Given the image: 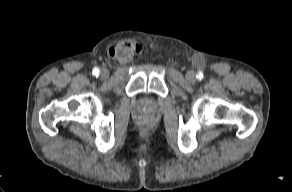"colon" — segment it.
I'll return each instance as SVG.
<instances>
[{"label":"colon","instance_id":"5ec220e1","mask_svg":"<svg viewBox=\"0 0 292 192\" xmlns=\"http://www.w3.org/2000/svg\"><path fill=\"white\" fill-rule=\"evenodd\" d=\"M124 50L128 52L138 53L140 52V47L134 42H127L124 46Z\"/></svg>","mask_w":292,"mask_h":192}]
</instances>
